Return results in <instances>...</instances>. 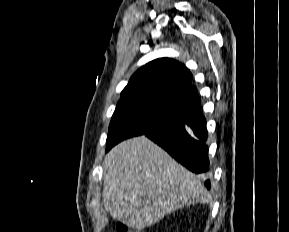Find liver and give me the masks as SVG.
Segmentation results:
<instances>
[{"label": "liver", "instance_id": "1", "mask_svg": "<svg viewBox=\"0 0 289 232\" xmlns=\"http://www.w3.org/2000/svg\"><path fill=\"white\" fill-rule=\"evenodd\" d=\"M103 203L110 215L142 230L208 192L193 173L145 136L113 147L103 164Z\"/></svg>", "mask_w": 289, "mask_h": 232}]
</instances>
